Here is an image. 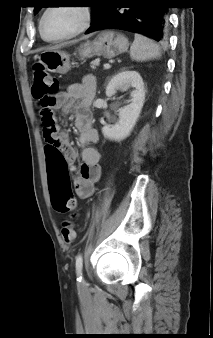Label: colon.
Here are the masks:
<instances>
[{
    "instance_id": "colon-1",
    "label": "colon",
    "mask_w": 213,
    "mask_h": 338,
    "mask_svg": "<svg viewBox=\"0 0 213 338\" xmlns=\"http://www.w3.org/2000/svg\"><path fill=\"white\" fill-rule=\"evenodd\" d=\"M59 90V81L46 72L40 64L35 65L33 72L32 95L38 102L39 115L43 123V137L47 143L55 142L52 133L56 130L53 108L56 103L55 95ZM52 205L58 212L66 213L76 208V200L69 188L56 185L51 191ZM61 236L66 244H70L76 237L74 226L64 222Z\"/></svg>"
}]
</instances>
